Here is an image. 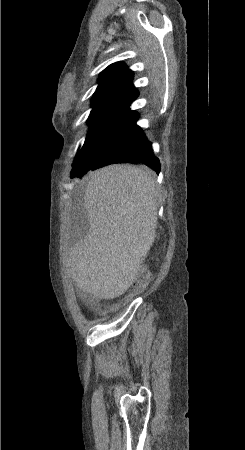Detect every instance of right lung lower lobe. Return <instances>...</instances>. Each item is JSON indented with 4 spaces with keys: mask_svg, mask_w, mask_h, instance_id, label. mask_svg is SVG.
<instances>
[{
    "mask_svg": "<svg viewBox=\"0 0 245 450\" xmlns=\"http://www.w3.org/2000/svg\"><path fill=\"white\" fill-rule=\"evenodd\" d=\"M127 162H141L155 170L156 173L160 172L159 160L154 156L149 141L138 126L134 136L127 143L114 152H107L102 155L90 169L94 170L107 164ZM88 170L76 173L71 178H81Z\"/></svg>",
    "mask_w": 245,
    "mask_h": 450,
    "instance_id": "1",
    "label": "right lung lower lobe"
}]
</instances>
